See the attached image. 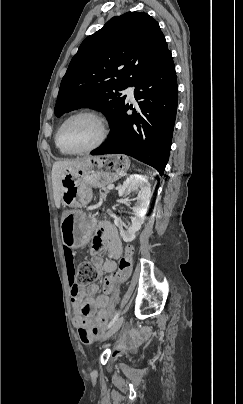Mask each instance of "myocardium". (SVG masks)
I'll return each mask as SVG.
<instances>
[{"label": "myocardium", "mask_w": 243, "mask_h": 404, "mask_svg": "<svg viewBox=\"0 0 243 404\" xmlns=\"http://www.w3.org/2000/svg\"><path fill=\"white\" fill-rule=\"evenodd\" d=\"M80 115H90V116L95 117L100 122V125H101V136L94 145H92L88 148H84V149L66 148L62 145V142H61V131H62L63 127L65 126V124L70 119H72L76 116H80ZM107 137H108V126H107V122H106L105 118L100 113H98L97 111L92 110V109H82V110H78V111L71 113L61 122V124L59 125V127L57 129V140H58L59 145L64 147L67 151H69L71 153H75V154L90 153L92 151L99 149L105 143Z\"/></svg>", "instance_id": "f54148a6"}]
</instances>
